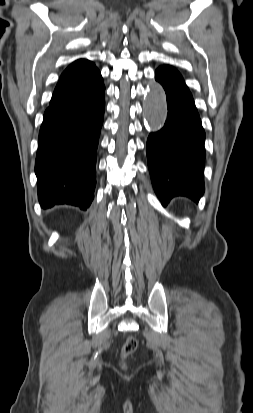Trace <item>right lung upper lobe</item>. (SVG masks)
<instances>
[{
    "instance_id": "obj_1",
    "label": "right lung upper lobe",
    "mask_w": 253,
    "mask_h": 413,
    "mask_svg": "<svg viewBox=\"0 0 253 413\" xmlns=\"http://www.w3.org/2000/svg\"><path fill=\"white\" fill-rule=\"evenodd\" d=\"M102 81L99 70L91 61L76 60L60 76L50 106L81 97L93 91Z\"/></svg>"
}]
</instances>
